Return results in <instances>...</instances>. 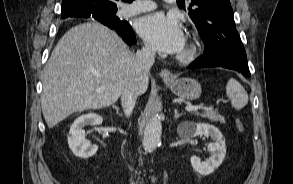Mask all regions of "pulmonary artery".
<instances>
[{
  "label": "pulmonary artery",
  "instance_id": "pulmonary-artery-1",
  "mask_svg": "<svg viewBox=\"0 0 293 184\" xmlns=\"http://www.w3.org/2000/svg\"><path fill=\"white\" fill-rule=\"evenodd\" d=\"M168 3H173L176 0H165ZM156 8V5L150 0H138L133 4L125 5L121 10L122 16H131L138 13L150 11Z\"/></svg>",
  "mask_w": 293,
  "mask_h": 184
}]
</instances>
